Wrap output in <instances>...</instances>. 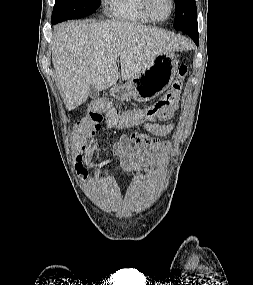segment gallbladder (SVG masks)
I'll list each match as a JSON object with an SVG mask.
<instances>
[{
	"label": "gallbladder",
	"mask_w": 253,
	"mask_h": 285,
	"mask_svg": "<svg viewBox=\"0 0 253 285\" xmlns=\"http://www.w3.org/2000/svg\"><path fill=\"white\" fill-rule=\"evenodd\" d=\"M98 94H99L98 90L95 89L92 85H90V87H89V96L91 98H96L98 96Z\"/></svg>",
	"instance_id": "1"
}]
</instances>
